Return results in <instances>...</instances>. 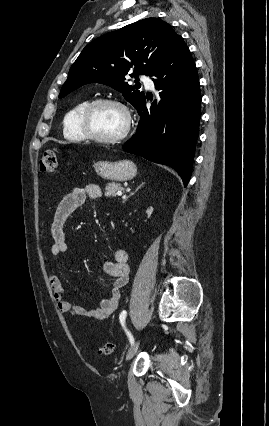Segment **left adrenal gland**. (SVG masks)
<instances>
[{"mask_svg":"<svg viewBox=\"0 0 269 426\" xmlns=\"http://www.w3.org/2000/svg\"><path fill=\"white\" fill-rule=\"evenodd\" d=\"M143 184H144V183H142L140 186H138V188H137L134 192H132V193H131L128 197H127V199H128L130 196H132L135 192H137V191L139 190V188H141V186H143ZM127 199H126V200H127ZM126 200H125V201H126Z\"/></svg>","mask_w":269,"mask_h":426,"instance_id":"left-adrenal-gland-1","label":"left adrenal gland"}]
</instances>
